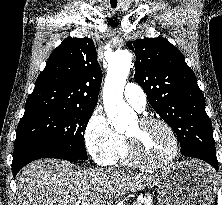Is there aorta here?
I'll return each mask as SVG.
<instances>
[{"label":"aorta","instance_id":"obj_1","mask_svg":"<svg viewBox=\"0 0 222 205\" xmlns=\"http://www.w3.org/2000/svg\"><path fill=\"white\" fill-rule=\"evenodd\" d=\"M132 64L131 55L127 51L113 54L108 63V72L103 89V103L111 126L118 132L126 130L135 118V112L123 100L126 79Z\"/></svg>","mask_w":222,"mask_h":205}]
</instances>
